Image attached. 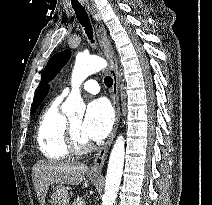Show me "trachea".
I'll use <instances>...</instances> for the list:
<instances>
[{
	"mask_svg": "<svg viewBox=\"0 0 212 205\" xmlns=\"http://www.w3.org/2000/svg\"><path fill=\"white\" fill-rule=\"evenodd\" d=\"M73 9L75 11L76 17L78 21L85 27V32L88 38L93 42V31L92 26L89 21L88 14L84 7L80 4H73ZM104 83L107 87H111L113 85V79L110 76H106L104 78Z\"/></svg>",
	"mask_w": 212,
	"mask_h": 205,
	"instance_id": "3493384b",
	"label": "trachea"
}]
</instances>
